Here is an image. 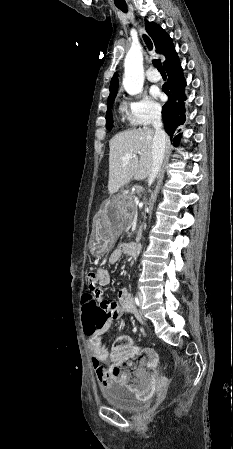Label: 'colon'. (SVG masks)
<instances>
[{"instance_id":"colon-1","label":"colon","mask_w":233,"mask_h":449,"mask_svg":"<svg viewBox=\"0 0 233 449\" xmlns=\"http://www.w3.org/2000/svg\"><path fill=\"white\" fill-rule=\"evenodd\" d=\"M88 277V283H89ZM90 286V285H89ZM94 295H89L85 292L84 297H82L79 302L80 318L83 319V328H103L105 316L108 314L105 312V307L101 308L94 301ZM124 339H118L113 345V353L122 344Z\"/></svg>"}]
</instances>
